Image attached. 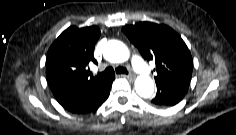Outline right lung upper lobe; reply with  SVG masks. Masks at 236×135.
<instances>
[{"mask_svg": "<svg viewBox=\"0 0 236 135\" xmlns=\"http://www.w3.org/2000/svg\"><path fill=\"white\" fill-rule=\"evenodd\" d=\"M100 34L97 26H71L61 33L47 54L46 73L51 90L92 85L104 79L87 70L90 62L97 64L93 51Z\"/></svg>", "mask_w": 236, "mask_h": 135, "instance_id": "right-lung-upper-lobe-1", "label": "right lung upper lobe"}]
</instances>
